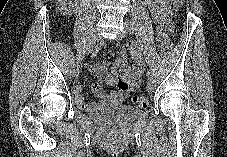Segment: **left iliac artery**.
Masks as SVG:
<instances>
[{
	"instance_id": "obj_1",
	"label": "left iliac artery",
	"mask_w": 227,
	"mask_h": 157,
	"mask_svg": "<svg viewBox=\"0 0 227 157\" xmlns=\"http://www.w3.org/2000/svg\"><path fill=\"white\" fill-rule=\"evenodd\" d=\"M128 29L133 31L135 28L133 27V24L129 23L128 24ZM147 77L148 78H152V73H151L150 70L147 71Z\"/></svg>"
}]
</instances>
